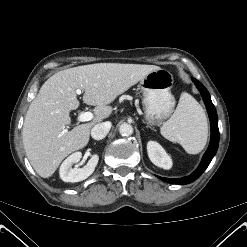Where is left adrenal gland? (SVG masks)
<instances>
[{"label": "left adrenal gland", "mask_w": 247, "mask_h": 247, "mask_svg": "<svg viewBox=\"0 0 247 247\" xmlns=\"http://www.w3.org/2000/svg\"><path fill=\"white\" fill-rule=\"evenodd\" d=\"M146 127H150L151 128V126H149V124H147V126Z\"/></svg>", "instance_id": "a2214340"}]
</instances>
